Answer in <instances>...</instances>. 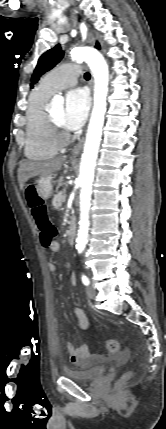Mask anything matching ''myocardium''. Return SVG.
<instances>
[{
  "mask_svg": "<svg viewBox=\"0 0 166 429\" xmlns=\"http://www.w3.org/2000/svg\"><path fill=\"white\" fill-rule=\"evenodd\" d=\"M46 116H47L48 127L50 130V135L53 142L57 146H63L67 144L71 139L70 134L66 130L62 129L55 122L50 112H46Z\"/></svg>",
  "mask_w": 166,
  "mask_h": 429,
  "instance_id": "obj_1",
  "label": "myocardium"
}]
</instances>
